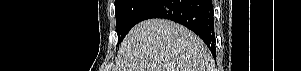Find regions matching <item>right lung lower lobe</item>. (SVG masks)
I'll return each mask as SVG.
<instances>
[{
    "label": "right lung lower lobe",
    "mask_w": 301,
    "mask_h": 71,
    "mask_svg": "<svg viewBox=\"0 0 301 71\" xmlns=\"http://www.w3.org/2000/svg\"><path fill=\"white\" fill-rule=\"evenodd\" d=\"M211 0H155L142 14L140 22L164 18L195 32L215 58L214 13Z\"/></svg>",
    "instance_id": "right-lung-lower-lobe-1"
}]
</instances>
